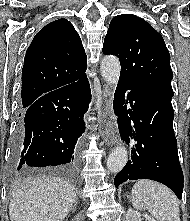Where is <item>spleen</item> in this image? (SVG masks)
<instances>
[{"label":"spleen","instance_id":"obj_1","mask_svg":"<svg viewBox=\"0 0 190 221\" xmlns=\"http://www.w3.org/2000/svg\"><path fill=\"white\" fill-rule=\"evenodd\" d=\"M132 205L148 210L158 221H180L176 196L166 186L151 180H139L132 188Z\"/></svg>","mask_w":190,"mask_h":221}]
</instances>
